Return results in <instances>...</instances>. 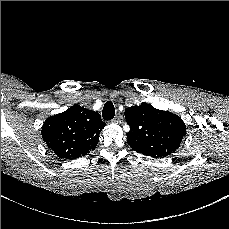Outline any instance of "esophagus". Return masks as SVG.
<instances>
[{
  "label": "esophagus",
  "mask_w": 229,
  "mask_h": 229,
  "mask_svg": "<svg viewBox=\"0 0 229 229\" xmlns=\"http://www.w3.org/2000/svg\"><path fill=\"white\" fill-rule=\"evenodd\" d=\"M122 115L120 113H118L114 119L112 120L114 123H121L122 122Z\"/></svg>",
  "instance_id": "esophagus-1"
}]
</instances>
